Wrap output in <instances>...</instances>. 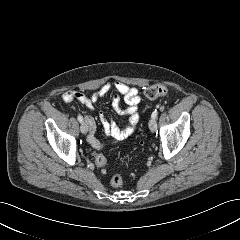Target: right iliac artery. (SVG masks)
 I'll list each match as a JSON object with an SVG mask.
<instances>
[{"instance_id":"right-iliac-artery-1","label":"right iliac artery","mask_w":240,"mask_h":240,"mask_svg":"<svg viewBox=\"0 0 240 240\" xmlns=\"http://www.w3.org/2000/svg\"><path fill=\"white\" fill-rule=\"evenodd\" d=\"M77 119H78V121H79L80 123L83 122V117H82L81 115H78V116H77Z\"/></svg>"}]
</instances>
